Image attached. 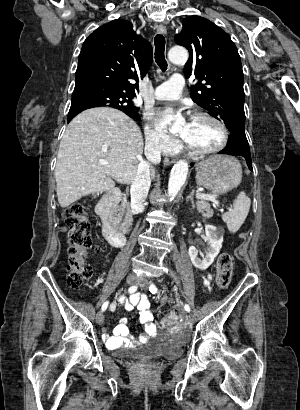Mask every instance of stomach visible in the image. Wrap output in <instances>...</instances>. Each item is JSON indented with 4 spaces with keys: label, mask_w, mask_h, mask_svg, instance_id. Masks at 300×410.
I'll return each instance as SVG.
<instances>
[{
    "label": "stomach",
    "mask_w": 300,
    "mask_h": 410,
    "mask_svg": "<svg viewBox=\"0 0 300 410\" xmlns=\"http://www.w3.org/2000/svg\"><path fill=\"white\" fill-rule=\"evenodd\" d=\"M242 180V168L234 158L216 155L196 167V181L214 193H225Z\"/></svg>",
    "instance_id": "obj_1"
}]
</instances>
